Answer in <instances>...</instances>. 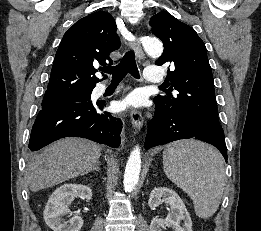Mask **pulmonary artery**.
I'll return each instance as SVG.
<instances>
[{"instance_id":"e3ab8cb5","label":"pulmonary artery","mask_w":261,"mask_h":231,"mask_svg":"<svg viewBox=\"0 0 261 231\" xmlns=\"http://www.w3.org/2000/svg\"><path fill=\"white\" fill-rule=\"evenodd\" d=\"M144 76L147 82L151 83H161L162 75L161 68L155 66H148L144 70Z\"/></svg>"}]
</instances>
